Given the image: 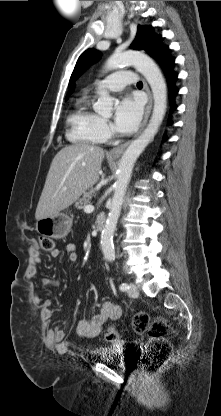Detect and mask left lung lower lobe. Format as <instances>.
Segmentation results:
<instances>
[{
    "instance_id": "1",
    "label": "left lung lower lobe",
    "mask_w": 221,
    "mask_h": 416,
    "mask_svg": "<svg viewBox=\"0 0 221 416\" xmlns=\"http://www.w3.org/2000/svg\"><path fill=\"white\" fill-rule=\"evenodd\" d=\"M161 39V37H160ZM160 39L153 46L150 51V55L154 57L161 67L166 76L169 88V99L171 104V112L176 109V105L173 102L175 95L178 93V89L175 88V81L177 79V74L173 72L172 66L174 65V59L169 56V49L167 46H164L160 43ZM168 124H171L169 121Z\"/></svg>"
}]
</instances>
